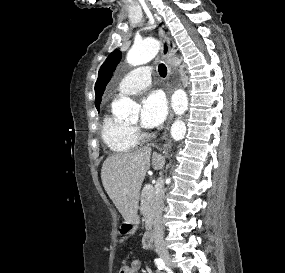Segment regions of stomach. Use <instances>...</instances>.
Returning a JSON list of instances; mask_svg holds the SVG:
<instances>
[{
	"mask_svg": "<svg viewBox=\"0 0 285 273\" xmlns=\"http://www.w3.org/2000/svg\"><path fill=\"white\" fill-rule=\"evenodd\" d=\"M138 225V217L131 221V222H127L125 221L122 225H121V232L124 234H128V233H132Z\"/></svg>",
	"mask_w": 285,
	"mask_h": 273,
	"instance_id": "0dacf381",
	"label": "stomach"
}]
</instances>
